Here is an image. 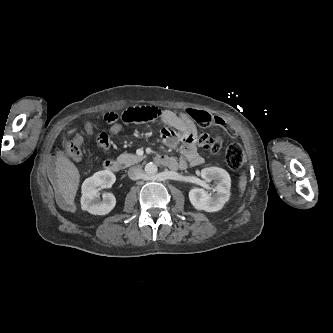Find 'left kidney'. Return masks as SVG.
<instances>
[{
  "mask_svg": "<svg viewBox=\"0 0 333 333\" xmlns=\"http://www.w3.org/2000/svg\"><path fill=\"white\" fill-rule=\"evenodd\" d=\"M200 174L206 182L214 181L213 192L216 193H209L202 188H193L189 191L191 204L197 210L219 211L230 198V175L224 169L218 167L204 168Z\"/></svg>",
  "mask_w": 333,
  "mask_h": 333,
  "instance_id": "1",
  "label": "left kidney"
}]
</instances>
